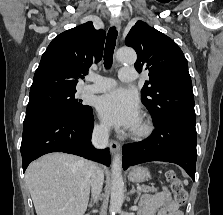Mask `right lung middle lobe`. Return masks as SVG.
<instances>
[{
  "label": "right lung middle lobe",
  "mask_w": 223,
  "mask_h": 215,
  "mask_svg": "<svg viewBox=\"0 0 223 215\" xmlns=\"http://www.w3.org/2000/svg\"><path fill=\"white\" fill-rule=\"evenodd\" d=\"M75 93L76 90L55 89L30 92L24 123L53 117L88 118L92 108L75 99Z\"/></svg>",
  "instance_id": "dd1d6c3e"
}]
</instances>
